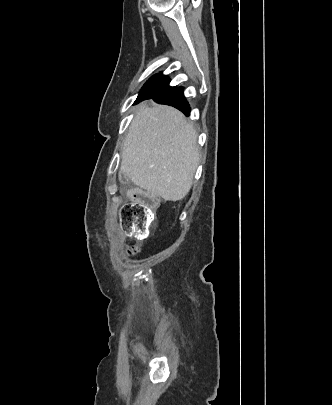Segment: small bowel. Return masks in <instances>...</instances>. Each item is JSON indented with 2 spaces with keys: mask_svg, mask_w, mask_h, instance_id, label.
<instances>
[{
  "mask_svg": "<svg viewBox=\"0 0 332 405\" xmlns=\"http://www.w3.org/2000/svg\"><path fill=\"white\" fill-rule=\"evenodd\" d=\"M115 182L117 186H130L132 181L130 177H127L125 173L121 172L118 174Z\"/></svg>",
  "mask_w": 332,
  "mask_h": 405,
  "instance_id": "1",
  "label": "small bowel"
}]
</instances>
